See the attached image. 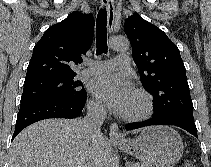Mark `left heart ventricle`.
<instances>
[{
	"label": "left heart ventricle",
	"mask_w": 211,
	"mask_h": 167,
	"mask_svg": "<svg viewBox=\"0 0 211 167\" xmlns=\"http://www.w3.org/2000/svg\"><path fill=\"white\" fill-rule=\"evenodd\" d=\"M141 107L142 106H141L140 100H138L137 98L132 96L131 101L124 113H126V114L138 113L141 110Z\"/></svg>",
	"instance_id": "obj_1"
}]
</instances>
